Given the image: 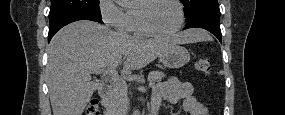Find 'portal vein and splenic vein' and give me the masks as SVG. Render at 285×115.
Instances as JSON below:
<instances>
[{
  "mask_svg": "<svg viewBox=\"0 0 285 115\" xmlns=\"http://www.w3.org/2000/svg\"><path fill=\"white\" fill-rule=\"evenodd\" d=\"M116 68L111 67L108 70H104V69H99L97 71H95L96 73H100L103 74L104 76H109L110 79L116 84V85H122V86H127L125 80L123 78H121L118 73L115 70ZM150 86H152V83L149 84Z\"/></svg>",
  "mask_w": 285,
  "mask_h": 115,
  "instance_id": "18ae733b",
  "label": "portal vein and splenic vein"
}]
</instances>
